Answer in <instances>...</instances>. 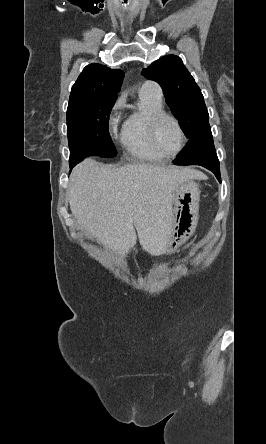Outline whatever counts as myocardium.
Returning a JSON list of instances; mask_svg holds the SVG:
<instances>
[{"instance_id":"obj_1","label":"myocardium","mask_w":266,"mask_h":444,"mask_svg":"<svg viewBox=\"0 0 266 444\" xmlns=\"http://www.w3.org/2000/svg\"><path fill=\"white\" fill-rule=\"evenodd\" d=\"M163 119H170L175 123V125L178 128L180 138H181L179 148L174 153H171V154L164 153L160 149V147L157 143V137H156L157 128H158L159 123ZM148 133H149V139H150V142H151L153 148L164 157L175 156V155L180 154L184 150L186 143H187V137H186L185 131H184L179 119L177 117H175L174 115L167 113L165 111L157 112L151 116V118L149 120V124H148Z\"/></svg>"}]
</instances>
